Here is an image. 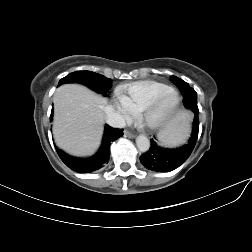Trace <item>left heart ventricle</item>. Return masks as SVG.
<instances>
[{"instance_id": "b2bd125f", "label": "left heart ventricle", "mask_w": 252, "mask_h": 252, "mask_svg": "<svg viewBox=\"0 0 252 252\" xmlns=\"http://www.w3.org/2000/svg\"><path fill=\"white\" fill-rule=\"evenodd\" d=\"M171 100L168 99L165 102H163L156 110V114L162 113L170 104Z\"/></svg>"}]
</instances>
